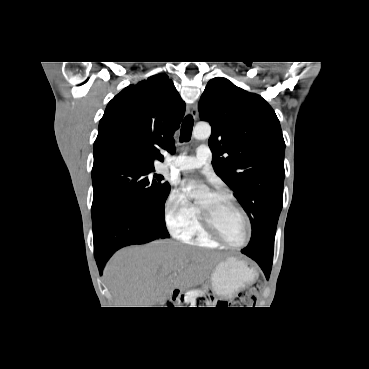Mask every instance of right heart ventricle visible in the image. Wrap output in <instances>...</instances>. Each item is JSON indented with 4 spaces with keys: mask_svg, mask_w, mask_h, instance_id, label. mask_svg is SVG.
I'll use <instances>...</instances> for the list:
<instances>
[{
    "mask_svg": "<svg viewBox=\"0 0 369 369\" xmlns=\"http://www.w3.org/2000/svg\"><path fill=\"white\" fill-rule=\"evenodd\" d=\"M183 240L191 241L199 246L215 248L219 243L213 240L202 228L199 216L191 227L189 233L180 236Z\"/></svg>",
    "mask_w": 369,
    "mask_h": 369,
    "instance_id": "1",
    "label": "right heart ventricle"
}]
</instances>
